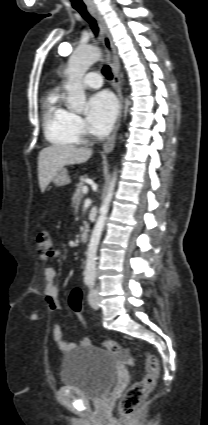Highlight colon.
<instances>
[{
    "instance_id": "colon-1",
    "label": "colon",
    "mask_w": 208,
    "mask_h": 425,
    "mask_svg": "<svg viewBox=\"0 0 208 425\" xmlns=\"http://www.w3.org/2000/svg\"><path fill=\"white\" fill-rule=\"evenodd\" d=\"M36 247L42 254H52L54 247L51 235L46 231L41 232L37 237ZM82 298L83 293L80 288L76 287L71 290L69 307L72 311L83 312ZM103 347L113 354H119L122 351V345L112 340L104 341ZM142 357L145 363V375L124 392L119 402V413L125 418H129L135 412L143 399L153 390L158 378L159 363L155 355L143 351Z\"/></svg>"
}]
</instances>
